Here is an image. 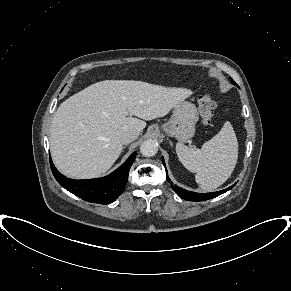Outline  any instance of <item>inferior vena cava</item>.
<instances>
[{
  "label": "inferior vena cava",
  "instance_id": "obj_1",
  "mask_svg": "<svg viewBox=\"0 0 291 291\" xmlns=\"http://www.w3.org/2000/svg\"><path fill=\"white\" fill-rule=\"evenodd\" d=\"M140 135L137 131H126L121 136V141L123 144H128L134 141Z\"/></svg>",
  "mask_w": 291,
  "mask_h": 291
}]
</instances>
